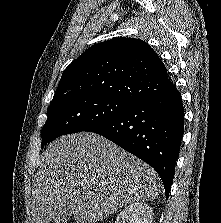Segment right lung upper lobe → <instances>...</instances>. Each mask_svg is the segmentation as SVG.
I'll use <instances>...</instances> for the list:
<instances>
[{
  "instance_id": "obj_1",
  "label": "right lung upper lobe",
  "mask_w": 221,
  "mask_h": 223,
  "mask_svg": "<svg viewBox=\"0 0 221 223\" xmlns=\"http://www.w3.org/2000/svg\"><path fill=\"white\" fill-rule=\"evenodd\" d=\"M172 88L153 49L140 39L121 37L96 44L74 60L64 70L51 103L87 95L134 103Z\"/></svg>"
}]
</instances>
